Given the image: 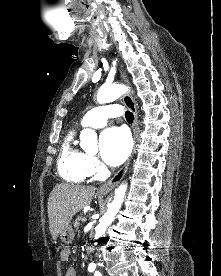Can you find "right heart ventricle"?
Returning a JSON list of instances; mask_svg holds the SVG:
<instances>
[{
    "label": "right heart ventricle",
    "instance_id": "1",
    "mask_svg": "<svg viewBox=\"0 0 221 276\" xmlns=\"http://www.w3.org/2000/svg\"><path fill=\"white\" fill-rule=\"evenodd\" d=\"M74 137V132H69L64 138L58 160V171L64 180L81 183L90 174L87 168V155L75 145Z\"/></svg>",
    "mask_w": 221,
    "mask_h": 276
}]
</instances>
